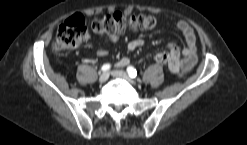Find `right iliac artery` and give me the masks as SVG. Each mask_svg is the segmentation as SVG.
<instances>
[{"instance_id": "right-iliac-artery-1", "label": "right iliac artery", "mask_w": 247, "mask_h": 145, "mask_svg": "<svg viewBox=\"0 0 247 145\" xmlns=\"http://www.w3.org/2000/svg\"><path fill=\"white\" fill-rule=\"evenodd\" d=\"M110 67H111L110 64H104L101 69H102V71H108L110 69Z\"/></svg>"}]
</instances>
